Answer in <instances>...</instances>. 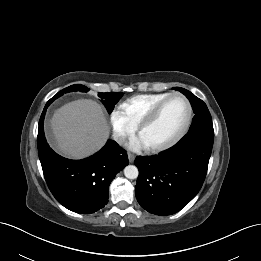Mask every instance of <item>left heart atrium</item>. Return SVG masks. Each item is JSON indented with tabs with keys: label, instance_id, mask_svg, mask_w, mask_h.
Returning <instances> with one entry per match:
<instances>
[{
	"label": "left heart atrium",
	"instance_id": "obj_1",
	"mask_svg": "<svg viewBox=\"0 0 261 261\" xmlns=\"http://www.w3.org/2000/svg\"><path fill=\"white\" fill-rule=\"evenodd\" d=\"M129 147L131 149H140V148H143L145 147V144L143 143V141L141 140V138L138 136V137H135L133 138L130 143H129Z\"/></svg>",
	"mask_w": 261,
	"mask_h": 261
}]
</instances>
